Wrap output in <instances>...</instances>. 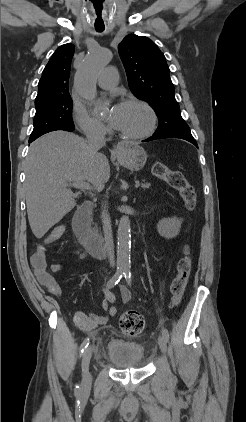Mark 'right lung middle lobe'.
<instances>
[{"mask_svg": "<svg viewBox=\"0 0 246 422\" xmlns=\"http://www.w3.org/2000/svg\"><path fill=\"white\" fill-rule=\"evenodd\" d=\"M33 125L34 129L29 141H34L41 135L55 130H74L71 97H62L46 106L37 108Z\"/></svg>", "mask_w": 246, "mask_h": 422, "instance_id": "obj_1", "label": "right lung middle lobe"}]
</instances>
